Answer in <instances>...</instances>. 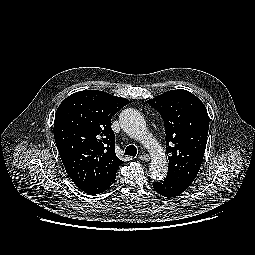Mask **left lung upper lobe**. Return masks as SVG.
<instances>
[{
    "mask_svg": "<svg viewBox=\"0 0 255 255\" xmlns=\"http://www.w3.org/2000/svg\"><path fill=\"white\" fill-rule=\"evenodd\" d=\"M148 103L164 121L169 154L167 177L191 184L200 169L207 143L209 117L204 104L182 89L165 92Z\"/></svg>",
    "mask_w": 255,
    "mask_h": 255,
    "instance_id": "5c2ea615",
    "label": "left lung upper lobe"
}]
</instances>
